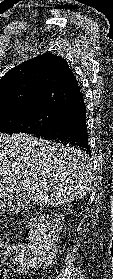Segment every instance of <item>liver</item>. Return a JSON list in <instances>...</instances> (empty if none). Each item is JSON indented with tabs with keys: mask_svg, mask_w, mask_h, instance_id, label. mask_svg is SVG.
I'll return each mask as SVG.
<instances>
[{
	"mask_svg": "<svg viewBox=\"0 0 113 279\" xmlns=\"http://www.w3.org/2000/svg\"><path fill=\"white\" fill-rule=\"evenodd\" d=\"M94 176L80 149L24 133L0 134V198L58 207L84 197Z\"/></svg>",
	"mask_w": 113,
	"mask_h": 279,
	"instance_id": "6515ba94",
	"label": "liver"
}]
</instances>
